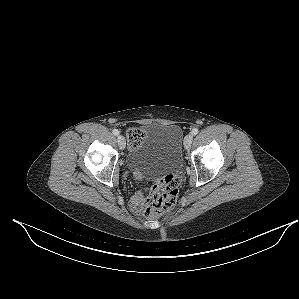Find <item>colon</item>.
Wrapping results in <instances>:
<instances>
[{
  "mask_svg": "<svg viewBox=\"0 0 299 299\" xmlns=\"http://www.w3.org/2000/svg\"><path fill=\"white\" fill-rule=\"evenodd\" d=\"M128 145L136 148L143 139V132L138 128H130L126 132ZM181 179L177 174L166 175L152 188L151 201L147 207V214L157 218L171 210L176 202Z\"/></svg>",
  "mask_w": 299,
  "mask_h": 299,
  "instance_id": "obj_1",
  "label": "colon"
}]
</instances>
